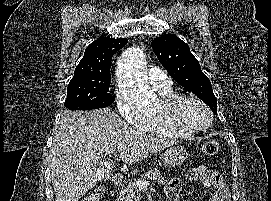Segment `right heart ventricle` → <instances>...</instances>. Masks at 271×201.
<instances>
[{
	"instance_id": "e07e8e85",
	"label": "right heart ventricle",
	"mask_w": 271,
	"mask_h": 201,
	"mask_svg": "<svg viewBox=\"0 0 271 201\" xmlns=\"http://www.w3.org/2000/svg\"><path fill=\"white\" fill-rule=\"evenodd\" d=\"M161 96H166L168 94L173 93L171 88L166 89H158ZM145 132L152 134L154 136L158 137H164V138H172V139H178V138H184L189 136V134L178 132L168 125H166L159 116L153 115L148 117L147 124L142 128Z\"/></svg>"
}]
</instances>
